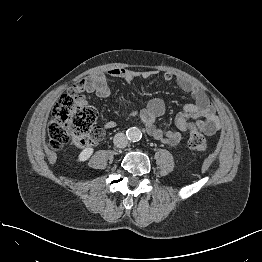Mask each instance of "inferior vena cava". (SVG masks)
<instances>
[{
    "label": "inferior vena cava",
    "instance_id": "602c4592",
    "mask_svg": "<svg viewBox=\"0 0 262 262\" xmlns=\"http://www.w3.org/2000/svg\"><path fill=\"white\" fill-rule=\"evenodd\" d=\"M114 145L118 148H124L128 144V138L124 133H117L114 136Z\"/></svg>",
    "mask_w": 262,
    "mask_h": 262
}]
</instances>
